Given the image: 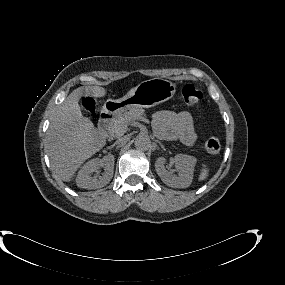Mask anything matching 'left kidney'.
Masks as SVG:
<instances>
[{
    "label": "left kidney",
    "instance_id": "left-kidney-1",
    "mask_svg": "<svg viewBox=\"0 0 285 285\" xmlns=\"http://www.w3.org/2000/svg\"><path fill=\"white\" fill-rule=\"evenodd\" d=\"M178 176L166 170L164 158H158L155 164L156 172L161 180L169 187L187 188L192 183L194 167L197 159L190 155L177 154L174 158Z\"/></svg>",
    "mask_w": 285,
    "mask_h": 285
}]
</instances>
